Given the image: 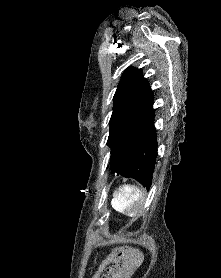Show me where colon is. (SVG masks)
I'll list each match as a JSON object with an SVG mask.
<instances>
[{
  "label": "colon",
  "instance_id": "5ec220e1",
  "mask_svg": "<svg viewBox=\"0 0 221 278\" xmlns=\"http://www.w3.org/2000/svg\"><path fill=\"white\" fill-rule=\"evenodd\" d=\"M136 266H137V264H135V265L132 267V269L136 268Z\"/></svg>",
  "mask_w": 221,
  "mask_h": 278
}]
</instances>
